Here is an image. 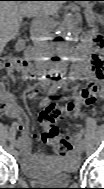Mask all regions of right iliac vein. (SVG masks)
<instances>
[{"mask_svg":"<svg viewBox=\"0 0 104 189\" xmlns=\"http://www.w3.org/2000/svg\"><path fill=\"white\" fill-rule=\"evenodd\" d=\"M15 147H16L17 149H21V148H22V143H21V141H18V140H17V142L15 143Z\"/></svg>","mask_w":104,"mask_h":189,"instance_id":"obj_1","label":"right iliac vein"}]
</instances>
